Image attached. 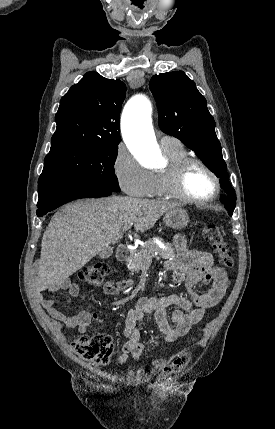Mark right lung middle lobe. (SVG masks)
<instances>
[{"label": "right lung middle lobe", "mask_w": 275, "mask_h": 429, "mask_svg": "<svg viewBox=\"0 0 275 429\" xmlns=\"http://www.w3.org/2000/svg\"><path fill=\"white\" fill-rule=\"evenodd\" d=\"M118 146L66 147L50 151L38 180V197L87 187L119 192L114 171Z\"/></svg>", "instance_id": "dd1d6c3e"}]
</instances>
